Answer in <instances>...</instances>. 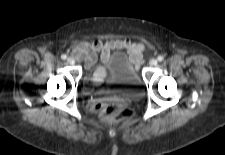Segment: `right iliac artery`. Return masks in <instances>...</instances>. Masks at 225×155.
<instances>
[{"instance_id":"1","label":"right iliac artery","mask_w":225,"mask_h":155,"mask_svg":"<svg viewBox=\"0 0 225 155\" xmlns=\"http://www.w3.org/2000/svg\"><path fill=\"white\" fill-rule=\"evenodd\" d=\"M62 60H65L67 56L65 54L61 55Z\"/></svg>"}]
</instances>
